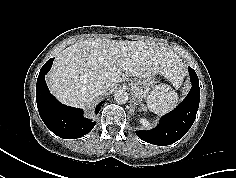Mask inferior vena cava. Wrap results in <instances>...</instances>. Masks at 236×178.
<instances>
[{
  "mask_svg": "<svg viewBox=\"0 0 236 178\" xmlns=\"http://www.w3.org/2000/svg\"><path fill=\"white\" fill-rule=\"evenodd\" d=\"M108 88H109V85L107 83H105L103 81H99L96 84V93L98 95H100V94L106 92L108 90Z\"/></svg>",
  "mask_w": 236,
  "mask_h": 178,
  "instance_id": "1",
  "label": "inferior vena cava"
}]
</instances>
